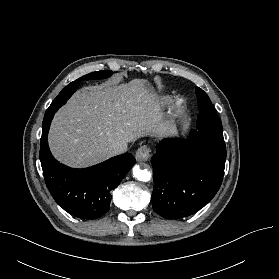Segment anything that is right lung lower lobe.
I'll use <instances>...</instances> for the list:
<instances>
[{"label": "right lung lower lobe", "instance_id": "98d812e1", "mask_svg": "<svg viewBox=\"0 0 279 279\" xmlns=\"http://www.w3.org/2000/svg\"><path fill=\"white\" fill-rule=\"evenodd\" d=\"M51 112L53 118L55 111ZM44 129L42 127L39 156L47 188L54 200L80 219L92 220L106 214L112 190L135 164L133 155L125 153L86 169H72L53 158L47 142L48 128Z\"/></svg>", "mask_w": 279, "mask_h": 279}]
</instances>
